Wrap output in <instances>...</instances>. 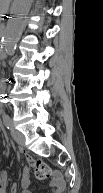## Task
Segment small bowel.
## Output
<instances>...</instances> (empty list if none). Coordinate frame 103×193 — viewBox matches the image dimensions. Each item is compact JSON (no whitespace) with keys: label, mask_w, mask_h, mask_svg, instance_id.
Listing matches in <instances>:
<instances>
[{"label":"small bowel","mask_w":103,"mask_h":193,"mask_svg":"<svg viewBox=\"0 0 103 193\" xmlns=\"http://www.w3.org/2000/svg\"><path fill=\"white\" fill-rule=\"evenodd\" d=\"M0 183L2 192L6 193L9 184L8 172L3 171L0 174ZM22 187H23L22 193H32L30 184V171L28 168H24L22 172ZM63 189H64V181L60 174L55 173L49 182L47 193H61ZM10 193H18L17 185L13 184L11 186Z\"/></svg>","instance_id":"1"}]
</instances>
